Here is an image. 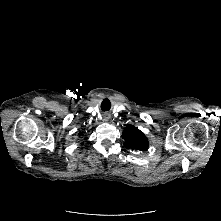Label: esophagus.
<instances>
[{
  "label": "esophagus",
  "mask_w": 221,
  "mask_h": 221,
  "mask_svg": "<svg viewBox=\"0 0 221 221\" xmlns=\"http://www.w3.org/2000/svg\"><path fill=\"white\" fill-rule=\"evenodd\" d=\"M110 118V116H108V114L104 115V120H108Z\"/></svg>",
  "instance_id": "obj_1"
}]
</instances>
